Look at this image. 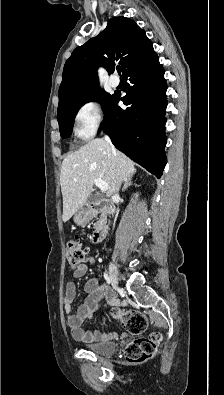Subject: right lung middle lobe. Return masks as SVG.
<instances>
[{
	"label": "right lung middle lobe",
	"instance_id": "obj_1",
	"mask_svg": "<svg viewBox=\"0 0 224 395\" xmlns=\"http://www.w3.org/2000/svg\"><path fill=\"white\" fill-rule=\"evenodd\" d=\"M113 97L114 95L108 94L98 86L71 98L65 105L58 108L57 111L61 137L67 138L71 135L75 116L84 103L98 101L102 104L105 112Z\"/></svg>",
	"mask_w": 224,
	"mask_h": 395
}]
</instances>
